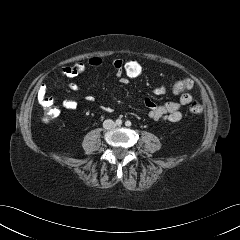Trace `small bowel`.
Segmentation results:
<instances>
[{"mask_svg": "<svg viewBox=\"0 0 240 240\" xmlns=\"http://www.w3.org/2000/svg\"><path fill=\"white\" fill-rule=\"evenodd\" d=\"M104 61L98 56H93L89 58L88 65L92 68H100ZM123 60L119 58L112 59L110 65L115 71L116 76L123 85L129 84V79L126 78L122 73ZM87 66L83 62H76L70 66H64L58 69V72L67 77H76L86 72ZM68 88L73 92H78L80 90V85L75 82H70ZM167 86L159 85L153 89L156 95H161L166 93ZM85 100L88 102H93L95 100L93 95H86ZM193 100L192 96L188 93H184L180 96L178 101L166 102L162 105H157L151 99L146 98L144 100V105L148 109V115L154 121H167V122H178L183 118V107L191 103ZM38 102L43 107H49L54 104L55 99L47 96L46 86L43 85L38 91ZM62 105L69 110H74L77 108L78 103L72 99H63ZM103 111L111 112L112 108L109 106H103Z\"/></svg>", "mask_w": 240, "mask_h": 240, "instance_id": "small-bowel-1", "label": "small bowel"}]
</instances>
